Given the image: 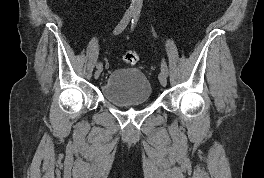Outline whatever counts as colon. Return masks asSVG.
<instances>
[{
    "label": "colon",
    "mask_w": 264,
    "mask_h": 178,
    "mask_svg": "<svg viewBox=\"0 0 264 178\" xmlns=\"http://www.w3.org/2000/svg\"><path fill=\"white\" fill-rule=\"evenodd\" d=\"M123 61L128 65H135L138 62V54L134 51H127L123 54Z\"/></svg>",
    "instance_id": "5ec220e1"
}]
</instances>
